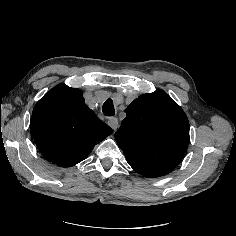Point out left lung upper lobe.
Listing matches in <instances>:
<instances>
[{
    "label": "left lung upper lobe",
    "instance_id": "left-lung-upper-lobe-1",
    "mask_svg": "<svg viewBox=\"0 0 236 236\" xmlns=\"http://www.w3.org/2000/svg\"><path fill=\"white\" fill-rule=\"evenodd\" d=\"M115 139L133 170L144 177H160L182 160L190 140L189 122L167 93L155 91L127 107Z\"/></svg>",
    "mask_w": 236,
    "mask_h": 236
}]
</instances>
